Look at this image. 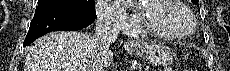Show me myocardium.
I'll use <instances>...</instances> for the list:
<instances>
[{
    "instance_id": "1",
    "label": "myocardium",
    "mask_w": 230,
    "mask_h": 71,
    "mask_svg": "<svg viewBox=\"0 0 230 71\" xmlns=\"http://www.w3.org/2000/svg\"><path fill=\"white\" fill-rule=\"evenodd\" d=\"M152 1H156V0H146L145 2H152ZM172 1H174V4L176 6L183 9L187 13L190 19L191 27L187 32L181 33V34L172 33V32H168V31L159 29L153 24H151V22L147 19L146 7L144 3L139 5V16H140V22H141L140 30L156 38L164 39V40H182V39L189 38L196 31V28H197L196 18L192 10L183 1L181 0H172Z\"/></svg>"
}]
</instances>
